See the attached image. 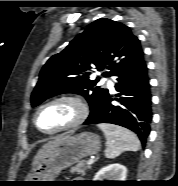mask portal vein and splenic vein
<instances>
[{"mask_svg": "<svg viewBox=\"0 0 178 186\" xmlns=\"http://www.w3.org/2000/svg\"><path fill=\"white\" fill-rule=\"evenodd\" d=\"M94 162H95V160L93 158H91L87 161V165H92Z\"/></svg>", "mask_w": 178, "mask_h": 186, "instance_id": "obj_1", "label": "portal vein and splenic vein"}]
</instances>
